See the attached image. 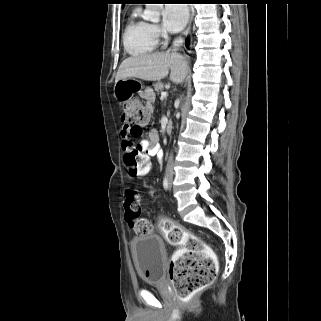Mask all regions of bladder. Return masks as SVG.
Segmentation results:
<instances>
[{"label": "bladder", "instance_id": "31cf9c89", "mask_svg": "<svg viewBox=\"0 0 321 321\" xmlns=\"http://www.w3.org/2000/svg\"><path fill=\"white\" fill-rule=\"evenodd\" d=\"M130 249L136 272L147 284L163 281L166 250L162 238L156 234H143L132 238Z\"/></svg>", "mask_w": 321, "mask_h": 321}]
</instances>
